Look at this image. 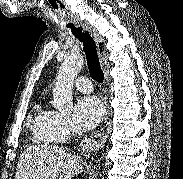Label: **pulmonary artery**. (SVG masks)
<instances>
[{
	"mask_svg": "<svg viewBox=\"0 0 183 179\" xmlns=\"http://www.w3.org/2000/svg\"><path fill=\"white\" fill-rule=\"evenodd\" d=\"M74 85L83 93H90L93 89L91 81L86 76H79L75 80Z\"/></svg>",
	"mask_w": 183,
	"mask_h": 179,
	"instance_id": "1",
	"label": "pulmonary artery"
}]
</instances>
